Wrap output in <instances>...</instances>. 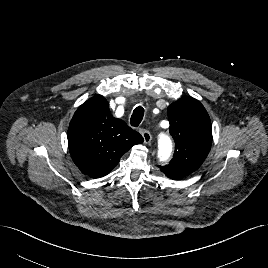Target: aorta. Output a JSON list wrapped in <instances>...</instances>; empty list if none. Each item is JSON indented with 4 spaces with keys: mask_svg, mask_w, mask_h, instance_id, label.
Listing matches in <instances>:
<instances>
[{
    "mask_svg": "<svg viewBox=\"0 0 268 268\" xmlns=\"http://www.w3.org/2000/svg\"><path fill=\"white\" fill-rule=\"evenodd\" d=\"M172 151L170 139L166 135H161L159 139V159L165 161L169 158Z\"/></svg>",
    "mask_w": 268,
    "mask_h": 268,
    "instance_id": "obj_1",
    "label": "aorta"
}]
</instances>
